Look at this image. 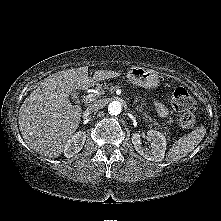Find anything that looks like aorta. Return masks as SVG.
Here are the masks:
<instances>
[{"label":"aorta","mask_w":221,"mask_h":221,"mask_svg":"<svg viewBox=\"0 0 221 221\" xmlns=\"http://www.w3.org/2000/svg\"><path fill=\"white\" fill-rule=\"evenodd\" d=\"M121 110H122V105L119 101H112L108 105V112L111 115H118L121 113Z\"/></svg>","instance_id":"obj_1"}]
</instances>
